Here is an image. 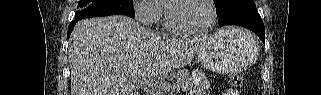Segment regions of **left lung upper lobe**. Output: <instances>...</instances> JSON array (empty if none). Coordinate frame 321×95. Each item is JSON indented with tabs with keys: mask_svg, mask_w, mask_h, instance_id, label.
I'll return each mask as SVG.
<instances>
[{
	"mask_svg": "<svg viewBox=\"0 0 321 95\" xmlns=\"http://www.w3.org/2000/svg\"><path fill=\"white\" fill-rule=\"evenodd\" d=\"M233 0H214L216 6L217 15L222 12V10L229 5Z\"/></svg>",
	"mask_w": 321,
	"mask_h": 95,
	"instance_id": "1",
	"label": "left lung upper lobe"
}]
</instances>
